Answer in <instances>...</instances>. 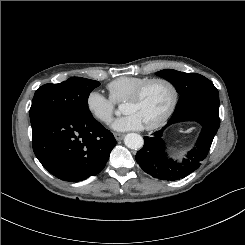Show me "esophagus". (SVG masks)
<instances>
[{"label":"esophagus","mask_w":245,"mask_h":245,"mask_svg":"<svg viewBox=\"0 0 245 245\" xmlns=\"http://www.w3.org/2000/svg\"><path fill=\"white\" fill-rule=\"evenodd\" d=\"M114 137L116 140H121L124 137V134L122 133H114Z\"/></svg>","instance_id":"1"}]
</instances>
